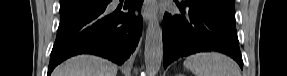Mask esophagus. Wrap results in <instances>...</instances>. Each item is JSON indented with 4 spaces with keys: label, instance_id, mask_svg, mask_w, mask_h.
<instances>
[{
    "label": "esophagus",
    "instance_id": "34e87169",
    "mask_svg": "<svg viewBox=\"0 0 287 76\" xmlns=\"http://www.w3.org/2000/svg\"><path fill=\"white\" fill-rule=\"evenodd\" d=\"M150 2H151L150 0H145L144 2L143 12H142L144 21H148L153 17V13L150 8Z\"/></svg>",
    "mask_w": 287,
    "mask_h": 76
}]
</instances>
